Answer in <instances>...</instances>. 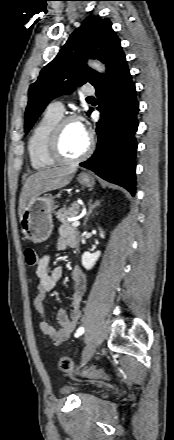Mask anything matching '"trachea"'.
Returning a JSON list of instances; mask_svg holds the SVG:
<instances>
[{
    "instance_id": "3493384b",
    "label": "trachea",
    "mask_w": 174,
    "mask_h": 440,
    "mask_svg": "<svg viewBox=\"0 0 174 440\" xmlns=\"http://www.w3.org/2000/svg\"><path fill=\"white\" fill-rule=\"evenodd\" d=\"M94 98L92 97V96H89L88 98H87V100H93Z\"/></svg>"
}]
</instances>
